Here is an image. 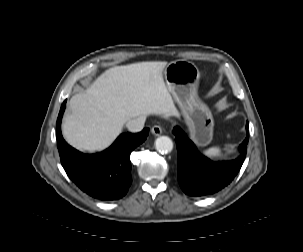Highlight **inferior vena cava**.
Masks as SVG:
<instances>
[{"label": "inferior vena cava", "instance_id": "1", "mask_svg": "<svg viewBox=\"0 0 303 252\" xmlns=\"http://www.w3.org/2000/svg\"><path fill=\"white\" fill-rule=\"evenodd\" d=\"M145 123L144 117L134 118L126 123V128L130 132H139L143 129Z\"/></svg>", "mask_w": 303, "mask_h": 252}]
</instances>
